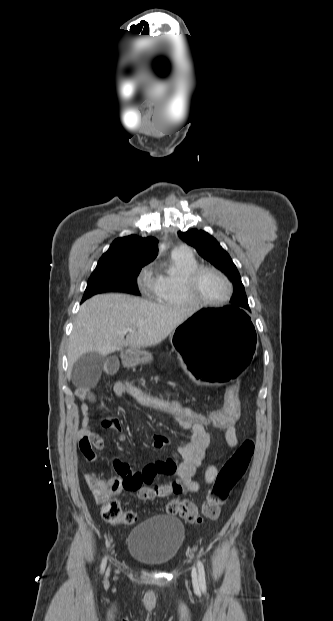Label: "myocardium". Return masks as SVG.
Returning <instances> with one entry per match:
<instances>
[{
	"label": "myocardium",
	"mask_w": 333,
	"mask_h": 621,
	"mask_svg": "<svg viewBox=\"0 0 333 621\" xmlns=\"http://www.w3.org/2000/svg\"><path fill=\"white\" fill-rule=\"evenodd\" d=\"M205 272L215 273L216 275H218L224 280V282L227 285L228 291H227L226 296L223 299L218 300V301H209V300H205L201 298L197 294V291H196L197 282L200 276ZM184 289H185L187 297L191 300L192 304L216 307V306H222L226 304L231 299L234 288H233V284L231 280L220 269L213 267V266H198L196 269H194L192 272H190L187 275L185 282H184Z\"/></svg>",
	"instance_id": "myocardium-1"
}]
</instances>
